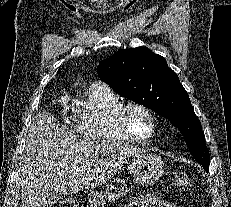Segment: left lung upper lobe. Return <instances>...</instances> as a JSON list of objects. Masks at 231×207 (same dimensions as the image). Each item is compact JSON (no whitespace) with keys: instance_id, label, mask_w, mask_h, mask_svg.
<instances>
[{"instance_id":"1","label":"left lung upper lobe","mask_w":231,"mask_h":207,"mask_svg":"<svg viewBox=\"0 0 231 207\" xmlns=\"http://www.w3.org/2000/svg\"><path fill=\"white\" fill-rule=\"evenodd\" d=\"M97 72L115 92L173 123L193 157L203 168H209L210 156L200 120L178 76L162 56L145 47L118 50L99 64Z\"/></svg>"}]
</instances>
